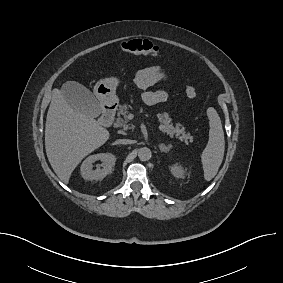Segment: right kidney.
Masks as SVG:
<instances>
[{"mask_svg":"<svg viewBox=\"0 0 283 283\" xmlns=\"http://www.w3.org/2000/svg\"><path fill=\"white\" fill-rule=\"evenodd\" d=\"M102 161V169H92V164L97 161ZM116 158L111 153H101L87 157L81 165V175L85 180H102L112 172V167L115 165Z\"/></svg>","mask_w":283,"mask_h":283,"instance_id":"ca27d5eb","label":"right kidney"}]
</instances>
